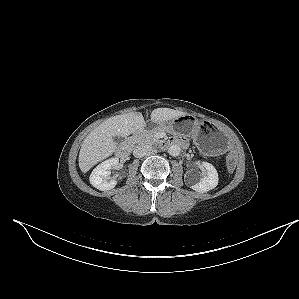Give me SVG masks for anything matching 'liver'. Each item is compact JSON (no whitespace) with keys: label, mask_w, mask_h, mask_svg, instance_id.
Returning <instances> with one entry per match:
<instances>
[{"label":"liver","mask_w":299,"mask_h":299,"mask_svg":"<svg viewBox=\"0 0 299 299\" xmlns=\"http://www.w3.org/2000/svg\"><path fill=\"white\" fill-rule=\"evenodd\" d=\"M187 115L185 112L170 108L154 109L150 115L151 121L161 123ZM145 120L140 112H130L116 115L102 122L84 139L79 152V167L88 172L98 162L111 156L117 146L114 136L127 137L134 132H143Z\"/></svg>","instance_id":"6515ba94"}]
</instances>
